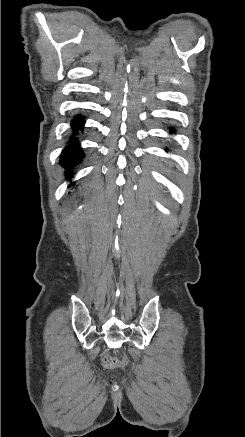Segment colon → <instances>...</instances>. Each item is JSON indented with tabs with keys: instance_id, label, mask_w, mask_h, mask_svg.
I'll list each match as a JSON object with an SVG mask.
<instances>
[{
	"instance_id": "1",
	"label": "colon",
	"mask_w": 245,
	"mask_h": 437,
	"mask_svg": "<svg viewBox=\"0 0 245 437\" xmlns=\"http://www.w3.org/2000/svg\"><path fill=\"white\" fill-rule=\"evenodd\" d=\"M124 363H125V361H119V360H117V359H115L113 357H105L104 358V364L107 367H114L116 365H120V364L122 365Z\"/></svg>"
}]
</instances>
